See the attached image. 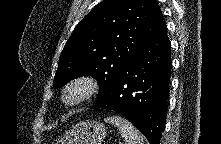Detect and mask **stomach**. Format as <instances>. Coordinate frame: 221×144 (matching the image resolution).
Segmentation results:
<instances>
[{"label":"stomach","instance_id":"obj_1","mask_svg":"<svg viewBox=\"0 0 221 144\" xmlns=\"http://www.w3.org/2000/svg\"><path fill=\"white\" fill-rule=\"evenodd\" d=\"M106 137L105 126L97 121H82L59 139L60 144H101Z\"/></svg>","mask_w":221,"mask_h":144}]
</instances>
